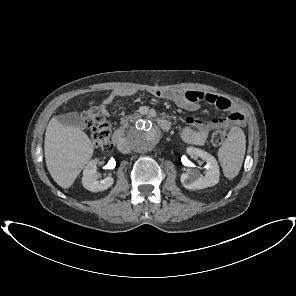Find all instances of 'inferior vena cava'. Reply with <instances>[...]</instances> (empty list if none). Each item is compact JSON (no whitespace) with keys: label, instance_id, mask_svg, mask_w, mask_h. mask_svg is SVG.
<instances>
[{"label":"inferior vena cava","instance_id":"602c4592","mask_svg":"<svg viewBox=\"0 0 296 296\" xmlns=\"http://www.w3.org/2000/svg\"><path fill=\"white\" fill-rule=\"evenodd\" d=\"M119 150L123 153H129L130 152V144L129 142L125 139L121 144H119Z\"/></svg>","mask_w":296,"mask_h":296}]
</instances>
